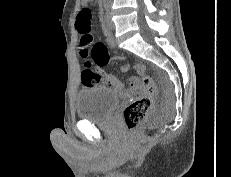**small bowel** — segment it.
Returning <instances> with one entry per match:
<instances>
[{
	"label": "small bowel",
	"mask_w": 231,
	"mask_h": 177,
	"mask_svg": "<svg viewBox=\"0 0 231 177\" xmlns=\"http://www.w3.org/2000/svg\"><path fill=\"white\" fill-rule=\"evenodd\" d=\"M88 1H91V0H83L82 8L87 7V2ZM104 35L106 37L107 44L113 46L114 45V39L111 36V34L108 31L105 30ZM118 58L122 59V57H120V56ZM103 66L104 65H98V71H99V76H100V82L98 84L101 83V84H104V85H106L108 87H111V88H113V89H115L117 91H123V84L121 83V81L118 80L114 75H112L109 72L103 70ZM135 69L139 74H143L144 71H145L144 66L141 65V64H137L135 66ZM122 70L127 71L128 66L124 65L122 67ZM82 81L86 86H91V85L86 84V82L84 81L83 75H82ZM139 86H140L139 79L137 77H132L130 79V90L127 93H131V92L136 91L139 88Z\"/></svg>",
	"instance_id": "small-bowel-1"
}]
</instances>
